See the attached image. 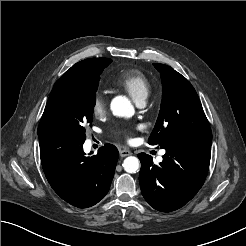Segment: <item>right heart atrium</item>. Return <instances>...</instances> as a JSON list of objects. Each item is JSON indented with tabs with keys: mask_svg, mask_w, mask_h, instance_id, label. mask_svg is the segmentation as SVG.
Here are the masks:
<instances>
[{
	"mask_svg": "<svg viewBox=\"0 0 246 246\" xmlns=\"http://www.w3.org/2000/svg\"><path fill=\"white\" fill-rule=\"evenodd\" d=\"M108 102L102 93H97L92 104V113L95 117H102L106 114Z\"/></svg>",
	"mask_w": 246,
	"mask_h": 246,
	"instance_id": "d8ad5b80",
	"label": "right heart atrium"
}]
</instances>
